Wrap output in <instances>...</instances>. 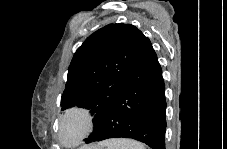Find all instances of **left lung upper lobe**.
Returning <instances> with one entry per match:
<instances>
[{"instance_id": "left-lung-upper-lobe-1", "label": "left lung upper lobe", "mask_w": 227, "mask_h": 149, "mask_svg": "<svg viewBox=\"0 0 227 149\" xmlns=\"http://www.w3.org/2000/svg\"><path fill=\"white\" fill-rule=\"evenodd\" d=\"M145 36L131 24H109L90 35L69 66L61 106L89 109L94 129L121 91Z\"/></svg>"}]
</instances>
